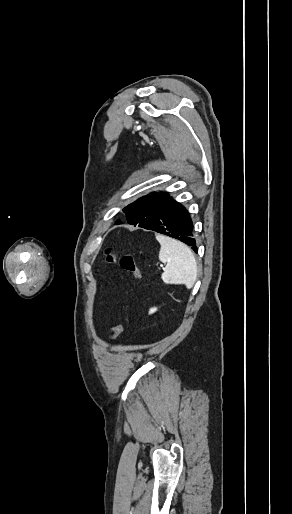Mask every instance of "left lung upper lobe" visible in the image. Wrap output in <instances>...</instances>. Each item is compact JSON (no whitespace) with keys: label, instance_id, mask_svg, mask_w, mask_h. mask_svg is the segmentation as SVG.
<instances>
[{"label":"left lung upper lobe","instance_id":"obj_1","mask_svg":"<svg viewBox=\"0 0 292 514\" xmlns=\"http://www.w3.org/2000/svg\"><path fill=\"white\" fill-rule=\"evenodd\" d=\"M171 197L167 193L152 192L137 199L123 209L128 224L147 227L162 212ZM116 224H121L118 220Z\"/></svg>","mask_w":292,"mask_h":514}]
</instances>
